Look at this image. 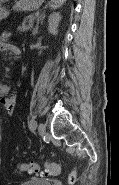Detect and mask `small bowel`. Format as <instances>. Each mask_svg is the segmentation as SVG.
I'll list each match as a JSON object with an SVG mask.
<instances>
[{"instance_id":"c3829d8e","label":"small bowel","mask_w":119,"mask_h":185,"mask_svg":"<svg viewBox=\"0 0 119 185\" xmlns=\"http://www.w3.org/2000/svg\"><path fill=\"white\" fill-rule=\"evenodd\" d=\"M9 34H5L0 43V48L3 51H15L16 47L9 42ZM10 87L5 84L0 85L1 102L8 114H11L16 105V98L14 96H8Z\"/></svg>"}]
</instances>
